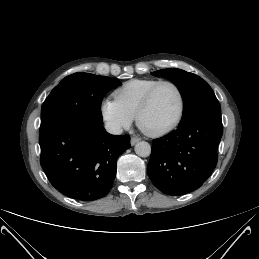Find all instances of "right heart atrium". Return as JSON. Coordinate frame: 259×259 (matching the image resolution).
Wrapping results in <instances>:
<instances>
[{
	"mask_svg": "<svg viewBox=\"0 0 259 259\" xmlns=\"http://www.w3.org/2000/svg\"><path fill=\"white\" fill-rule=\"evenodd\" d=\"M100 113L108 127L115 132L128 128L133 121V117L111 98H105L102 101Z\"/></svg>",
	"mask_w": 259,
	"mask_h": 259,
	"instance_id": "d8ad5b80",
	"label": "right heart atrium"
}]
</instances>
